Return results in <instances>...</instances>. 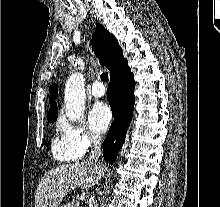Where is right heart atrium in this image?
<instances>
[{
	"label": "right heart atrium",
	"instance_id": "d8ad5b80",
	"mask_svg": "<svg viewBox=\"0 0 220 207\" xmlns=\"http://www.w3.org/2000/svg\"><path fill=\"white\" fill-rule=\"evenodd\" d=\"M59 127L62 135L69 144L83 154L94 148L100 141L99 137L89 132L83 124H73L62 119Z\"/></svg>",
	"mask_w": 220,
	"mask_h": 207
}]
</instances>
